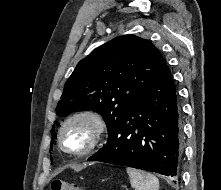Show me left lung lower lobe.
Returning <instances> with one entry per match:
<instances>
[{
  "label": "left lung lower lobe",
  "mask_w": 221,
  "mask_h": 190,
  "mask_svg": "<svg viewBox=\"0 0 221 190\" xmlns=\"http://www.w3.org/2000/svg\"><path fill=\"white\" fill-rule=\"evenodd\" d=\"M108 135L107 143L88 161L128 166L172 178L179 176L180 106L167 64Z\"/></svg>",
  "instance_id": "1"
}]
</instances>
